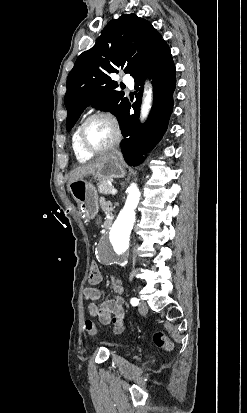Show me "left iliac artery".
Instances as JSON below:
<instances>
[{"label": "left iliac artery", "mask_w": 247, "mask_h": 413, "mask_svg": "<svg viewBox=\"0 0 247 413\" xmlns=\"http://www.w3.org/2000/svg\"><path fill=\"white\" fill-rule=\"evenodd\" d=\"M130 303L132 304V306H137L139 304V299L137 298H132L130 300Z\"/></svg>", "instance_id": "44dca946"}]
</instances>
